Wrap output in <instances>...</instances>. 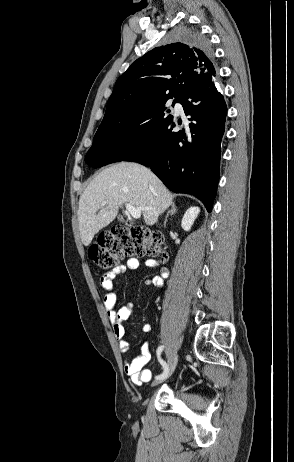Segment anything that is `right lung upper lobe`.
Returning <instances> with one entry per match:
<instances>
[{
    "label": "right lung upper lobe",
    "mask_w": 294,
    "mask_h": 462,
    "mask_svg": "<svg viewBox=\"0 0 294 462\" xmlns=\"http://www.w3.org/2000/svg\"><path fill=\"white\" fill-rule=\"evenodd\" d=\"M215 77L210 50L182 43L157 47L134 61L117 79L105 116L149 99L181 97Z\"/></svg>",
    "instance_id": "right-lung-upper-lobe-1"
}]
</instances>
